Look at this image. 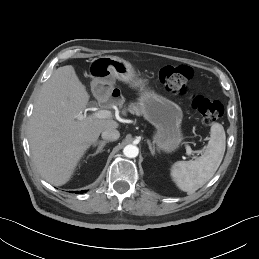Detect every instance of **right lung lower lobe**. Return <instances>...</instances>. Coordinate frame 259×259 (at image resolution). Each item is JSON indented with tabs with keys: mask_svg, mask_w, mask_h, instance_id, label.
<instances>
[{
	"mask_svg": "<svg viewBox=\"0 0 259 259\" xmlns=\"http://www.w3.org/2000/svg\"><path fill=\"white\" fill-rule=\"evenodd\" d=\"M83 192H86V190L85 191H81L80 193H83ZM76 193H79V192L77 191Z\"/></svg>",
	"mask_w": 259,
	"mask_h": 259,
	"instance_id": "1",
	"label": "right lung lower lobe"
}]
</instances>
